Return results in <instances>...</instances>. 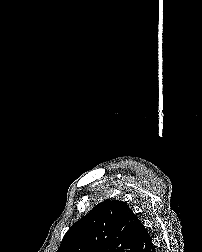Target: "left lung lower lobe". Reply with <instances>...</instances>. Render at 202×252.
Listing matches in <instances>:
<instances>
[{
    "label": "left lung lower lobe",
    "mask_w": 202,
    "mask_h": 252,
    "mask_svg": "<svg viewBox=\"0 0 202 252\" xmlns=\"http://www.w3.org/2000/svg\"><path fill=\"white\" fill-rule=\"evenodd\" d=\"M133 252H156L152 239L142 223L138 229L137 240Z\"/></svg>",
    "instance_id": "1"
}]
</instances>
